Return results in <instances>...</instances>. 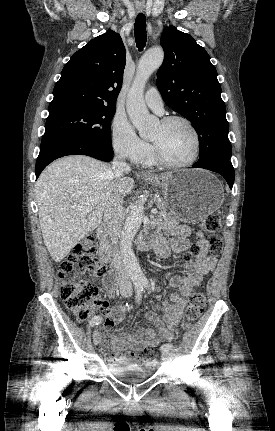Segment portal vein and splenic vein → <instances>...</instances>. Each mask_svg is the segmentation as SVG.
<instances>
[{
  "mask_svg": "<svg viewBox=\"0 0 275 431\" xmlns=\"http://www.w3.org/2000/svg\"><path fill=\"white\" fill-rule=\"evenodd\" d=\"M77 209H79V210H81L83 213H89V212H91L92 211V208L91 207H89V206H82V207H76ZM158 211H157V209L156 208H153L152 210H151V213L152 214H156Z\"/></svg>",
  "mask_w": 275,
  "mask_h": 431,
  "instance_id": "portal-vein-and-splenic-vein-1",
  "label": "portal vein and splenic vein"
}]
</instances>
